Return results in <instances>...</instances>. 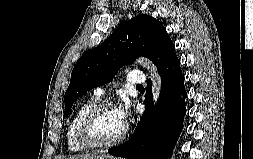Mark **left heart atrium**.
<instances>
[{"instance_id":"39dd6f15","label":"left heart atrium","mask_w":253,"mask_h":159,"mask_svg":"<svg viewBox=\"0 0 253 159\" xmlns=\"http://www.w3.org/2000/svg\"><path fill=\"white\" fill-rule=\"evenodd\" d=\"M117 112H118L119 119H120L123 127L125 128L127 125L128 118L130 116L129 105L123 104L122 106H120L117 109Z\"/></svg>"}]
</instances>
